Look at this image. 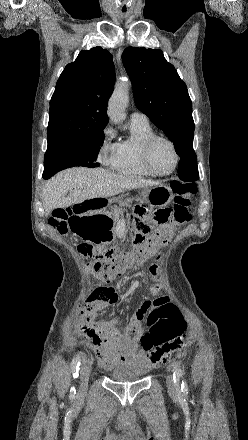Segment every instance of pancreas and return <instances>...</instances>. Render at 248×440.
I'll return each mask as SVG.
<instances>
[{
	"mask_svg": "<svg viewBox=\"0 0 248 440\" xmlns=\"http://www.w3.org/2000/svg\"><path fill=\"white\" fill-rule=\"evenodd\" d=\"M133 199L129 198L126 200L125 205L128 207H131ZM124 209L123 208H115L110 214L113 216L114 221H118L120 218V215H122Z\"/></svg>",
	"mask_w": 248,
	"mask_h": 440,
	"instance_id": "cf45deb5",
	"label": "pancreas"
}]
</instances>
